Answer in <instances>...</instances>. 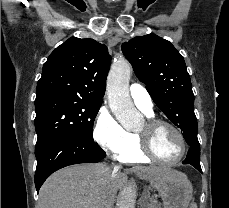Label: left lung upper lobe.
I'll use <instances>...</instances> for the list:
<instances>
[{
	"mask_svg": "<svg viewBox=\"0 0 229 208\" xmlns=\"http://www.w3.org/2000/svg\"><path fill=\"white\" fill-rule=\"evenodd\" d=\"M122 51L169 120L183 133L197 132L190 76L183 57L174 46L155 34H148L123 43Z\"/></svg>",
	"mask_w": 229,
	"mask_h": 208,
	"instance_id": "1",
	"label": "left lung upper lobe"
}]
</instances>
